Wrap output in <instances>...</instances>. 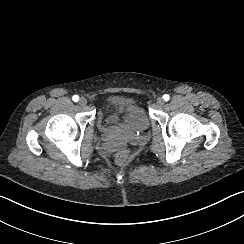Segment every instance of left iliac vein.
Segmentation results:
<instances>
[{"label":"left iliac vein","mask_w":244,"mask_h":244,"mask_svg":"<svg viewBox=\"0 0 244 244\" xmlns=\"http://www.w3.org/2000/svg\"><path fill=\"white\" fill-rule=\"evenodd\" d=\"M157 105H158V106H163V105H164V100H163V98H161V97H158V98H157Z\"/></svg>","instance_id":"obj_1"}]
</instances>
